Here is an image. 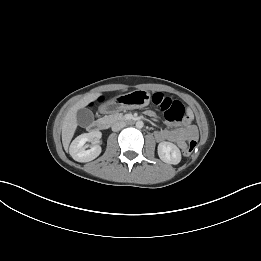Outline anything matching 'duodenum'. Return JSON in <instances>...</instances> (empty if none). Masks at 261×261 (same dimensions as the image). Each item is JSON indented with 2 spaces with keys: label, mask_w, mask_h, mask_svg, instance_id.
Masks as SVG:
<instances>
[{
  "label": "duodenum",
  "mask_w": 261,
  "mask_h": 261,
  "mask_svg": "<svg viewBox=\"0 0 261 261\" xmlns=\"http://www.w3.org/2000/svg\"><path fill=\"white\" fill-rule=\"evenodd\" d=\"M126 121L128 123H135L137 121V119L134 118V117H129V118L126 119ZM107 127H108V121L105 120V119H99L93 125L94 130H104Z\"/></svg>",
  "instance_id": "1"
}]
</instances>
